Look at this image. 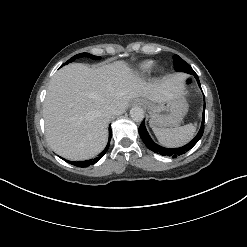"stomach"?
<instances>
[{"label": "stomach", "instance_id": "0dacf381", "mask_svg": "<svg viewBox=\"0 0 247 247\" xmlns=\"http://www.w3.org/2000/svg\"><path fill=\"white\" fill-rule=\"evenodd\" d=\"M140 101L147 108L152 128H167L179 125L188 112V103L183 94L177 93L172 98L162 102H152L146 99Z\"/></svg>", "mask_w": 247, "mask_h": 247}]
</instances>
